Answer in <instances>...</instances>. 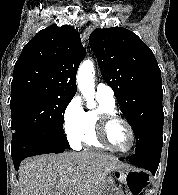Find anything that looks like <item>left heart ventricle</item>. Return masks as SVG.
Wrapping results in <instances>:
<instances>
[{
  "mask_svg": "<svg viewBox=\"0 0 178 195\" xmlns=\"http://www.w3.org/2000/svg\"><path fill=\"white\" fill-rule=\"evenodd\" d=\"M108 140L118 149H128L131 145V136L126 126L120 122L113 123L108 129Z\"/></svg>",
  "mask_w": 178,
  "mask_h": 195,
  "instance_id": "b2bd125f",
  "label": "left heart ventricle"
}]
</instances>
